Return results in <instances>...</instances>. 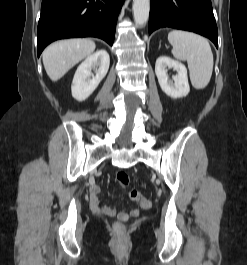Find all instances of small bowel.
<instances>
[{
    "instance_id": "c3829d8e",
    "label": "small bowel",
    "mask_w": 247,
    "mask_h": 265,
    "mask_svg": "<svg viewBox=\"0 0 247 265\" xmlns=\"http://www.w3.org/2000/svg\"><path fill=\"white\" fill-rule=\"evenodd\" d=\"M90 207L96 213L103 214L109 217H118L121 220H127L130 216L136 217L139 215V210L137 208H134L130 211H117L116 209L109 208L100 204L98 188H93L91 190Z\"/></svg>"
}]
</instances>
